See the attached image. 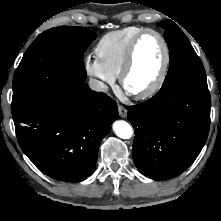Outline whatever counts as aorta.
<instances>
[{"label": "aorta", "mask_w": 221, "mask_h": 221, "mask_svg": "<svg viewBox=\"0 0 221 221\" xmlns=\"http://www.w3.org/2000/svg\"><path fill=\"white\" fill-rule=\"evenodd\" d=\"M113 131L122 139H129L133 133L132 127L123 120H118L113 123Z\"/></svg>", "instance_id": "aorta-1"}]
</instances>
